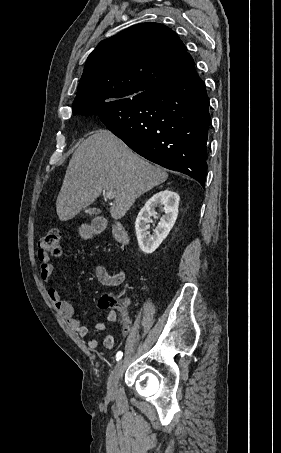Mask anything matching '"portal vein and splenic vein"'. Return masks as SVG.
<instances>
[{"mask_svg":"<svg viewBox=\"0 0 281 453\" xmlns=\"http://www.w3.org/2000/svg\"><path fill=\"white\" fill-rule=\"evenodd\" d=\"M106 196L107 198H115V194L112 190H106Z\"/></svg>","mask_w":281,"mask_h":453,"instance_id":"18ae733b","label":"portal vein and splenic vein"}]
</instances>
